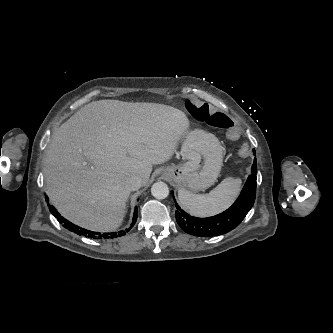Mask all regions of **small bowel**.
Masks as SVG:
<instances>
[{"label":"small bowel","mask_w":333,"mask_h":333,"mask_svg":"<svg viewBox=\"0 0 333 333\" xmlns=\"http://www.w3.org/2000/svg\"><path fill=\"white\" fill-rule=\"evenodd\" d=\"M237 133L233 130H228L225 132L224 134V139L226 142L228 143H233L236 141L237 139ZM250 144L249 143H242L241 145L239 144L237 146V150L239 151L238 154L241 156V155H249L250 154Z\"/></svg>","instance_id":"small-bowel-1"}]
</instances>
